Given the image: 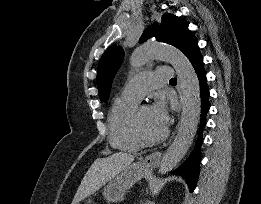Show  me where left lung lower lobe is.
Returning <instances> with one entry per match:
<instances>
[{
  "mask_svg": "<svg viewBox=\"0 0 261 204\" xmlns=\"http://www.w3.org/2000/svg\"><path fill=\"white\" fill-rule=\"evenodd\" d=\"M183 53L190 60L193 65L196 74L199 79L200 84V94H201V120H200V130L197 138L195 148L189 158L173 173L181 175L187 182L190 192L196 187V183L199 176V164L201 160L200 156V146L202 144V130L206 125V113L210 108L209 104V90L206 80V72L203 67V58L199 52L198 42L195 36L185 47Z\"/></svg>",
  "mask_w": 261,
  "mask_h": 204,
  "instance_id": "0a47b994",
  "label": "left lung lower lobe"
}]
</instances>
